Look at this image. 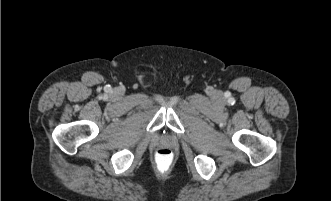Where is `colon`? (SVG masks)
<instances>
[{
    "label": "colon",
    "instance_id": "1",
    "mask_svg": "<svg viewBox=\"0 0 331 201\" xmlns=\"http://www.w3.org/2000/svg\"><path fill=\"white\" fill-rule=\"evenodd\" d=\"M154 164L158 172H170L175 164L174 152L168 147L157 149L154 154Z\"/></svg>",
    "mask_w": 331,
    "mask_h": 201
}]
</instances>
